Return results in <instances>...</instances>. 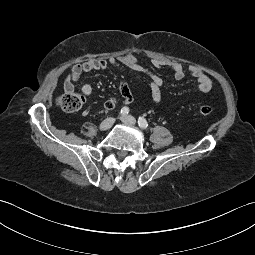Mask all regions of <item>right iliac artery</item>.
Wrapping results in <instances>:
<instances>
[{
  "label": "right iliac artery",
  "instance_id": "right-iliac-artery-1",
  "mask_svg": "<svg viewBox=\"0 0 255 255\" xmlns=\"http://www.w3.org/2000/svg\"><path fill=\"white\" fill-rule=\"evenodd\" d=\"M129 113V108L128 107H123L122 109H121V114L122 115H126V114H128Z\"/></svg>",
  "mask_w": 255,
  "mask_h": 255
}]
</instances>
